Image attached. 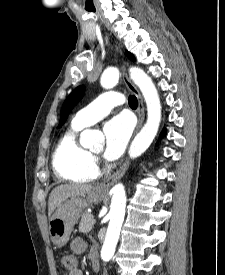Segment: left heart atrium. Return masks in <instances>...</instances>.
<instances>
[{"label":"left heart atrium","instance_id":"left-heart-atrium-1","mask_svg":"<svg viewBox=\"0 0 225 275\" xmlns=\"http://www.w3.org/2000/svg\"><path fill=\"white\" fill-rule=\"evenodd\" d=\"M133 130L129 117L119 115L107 121L103 127L105 135V152L107 160L113 161L121 156Z\"/></svg>","mask_w":225,"mask_h":275}]
</instances>
